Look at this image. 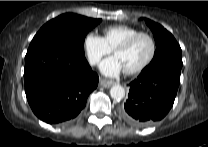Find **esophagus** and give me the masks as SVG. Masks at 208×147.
Returning <instances> with one entry per match:
<instances>
[{
  "instance_id": "34e87169",
  "label": "esophagus",
  "mask_w": 208,
  "mask_h": 147,
  "mask_svg": "<svg viewBox=\"0 0 208 147\" xmlns=\"http://www.w3.org/2000/svg\"><path fill=\"white\" fill-rule=\"evenodd\" d=\"M114 84H115L114 81L106 80V79H103V78L100 79V85L105 87V88H109Z\"/></svg>"
}]
</instances>
